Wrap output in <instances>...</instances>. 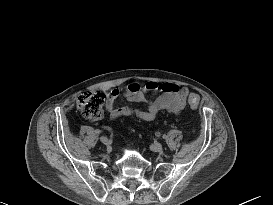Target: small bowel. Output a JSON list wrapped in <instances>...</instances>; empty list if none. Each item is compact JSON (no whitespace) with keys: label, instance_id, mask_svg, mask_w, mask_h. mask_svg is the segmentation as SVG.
<instances>
[{"label":"small bowel","instance_id":"1","mask_svg":"<svg viewBox=\"0 0 273 205\" xmlns=\"http://www.w3.org/2000/svg\"><path fill=\"white\" fill-rule=\"evenodd\" d=\"M153 92L158 94L154 97H149V94ZM120 94L119 89H113L106 97L104 108L110 120H117L125 116H135L145 121H152L163 110L173 114L180 113L185 108L190 97H197L188 88L173 83L149 81L142 86L137 82H131L126 86L123 94L132 102L146 105L145 109H138L129 106L116 107V101Z\"/></svg>","mask_w":273,"mask_h":205}]
</instances>
